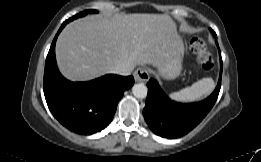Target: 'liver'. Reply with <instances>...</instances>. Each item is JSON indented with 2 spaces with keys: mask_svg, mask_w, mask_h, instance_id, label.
Instances as JSON below:
<instances>
[{
  "mask_svg": "<svg viewBox=\"0 0 261 162\" xmlns=\"http://www.w3.org/2000/svg\"><path fill=\"white\" fill-rule=\"evenodd\" d=\"M179 39L176 23L166 14L92 15L64 28L56 60L67 79L91 80L117 65L158 67Z\"/></svg>",
  "mask_w": 261,
  "mask_h": 162,
  "instance_id": "1",
  "label": "liver"
}]
</instances>
